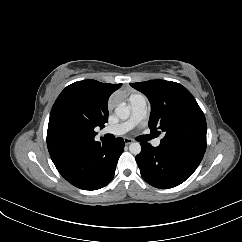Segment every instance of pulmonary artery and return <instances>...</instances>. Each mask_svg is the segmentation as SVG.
I'll return each mask as SVG.
<instances>
[{"mask_svg": "<svg viewBox=\"0 0 242 242\" xmlns=\"http://www.w3.org/2000/svg\"><path fill=\"white\" fill-rule=\"evenodd\" d=\"M146 105H147V100L145 96L141 94L133 95L129 99V107L131 110V116L129 120L124 123L106 127L101 131V134L120 136L127 133L143 119L146 113ZM160 142H161V139L156 138L152 141V145L157 147L160 145Z\"/></svg>", "mask_w": 242, "mask_h": 242, "instance_id": "e3ab8cb5", "label": "pulmonary artery"}]
</instances>
